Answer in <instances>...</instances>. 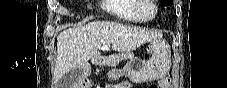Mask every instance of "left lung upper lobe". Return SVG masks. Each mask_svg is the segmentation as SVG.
Here are the masks:
<instances>
[{
    "label": "left lung upper lobe",
    "mask_w": 227,
    "mask_h": 88,
    "mask_svg": "<svg viewBox=\"0 0 227 88\" xmlns=\"http://www.w3.org/2000/svg\"><path fill=\"white\" fill-rule=\"evenodd\" d=\"M160 2L163 6H171L173 3V0H160Z\"/></svg>",
    "instance_id": "left-lung-upper-lobe-1"
}]
</instances>
